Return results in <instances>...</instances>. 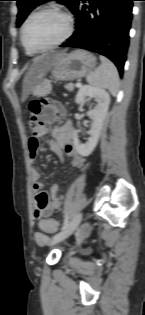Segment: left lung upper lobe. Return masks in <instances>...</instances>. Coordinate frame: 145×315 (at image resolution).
<instances>
[{
  "label": "left lung upper lobe",
  "instance_id": "obj_1",
  "mask_svg": "<svg viewBox=\"0 0 145 315\" xmlns=\"http://www.w3.org/2000/svg\"><path fill=\"white\" fill-rule=\"evenodd\" d=\"M19 9L17 15V27H19L25 20L27 15L38 5L48 1H58L66 4L67 7L73 12L79 0H16Z\"/></svg>",
  "mask_w": 145,
  "mask_h": 315
}]
</instances>
